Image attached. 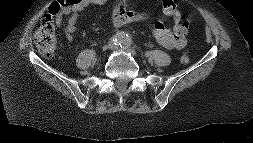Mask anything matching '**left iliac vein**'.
<instances>
[{
    "mask_svg": "<svg viewBox=\"0 0 253 143\" xmlns=\"http://www.w3.org/2000/svg\"><path fill=\"white\" fill-rule=\"evenodd\" d=\"M112 49H113V50H116V51L120 50V48H119L118 46H115V45H112ZM121 49H122L123 51L132 52V53L134 54V52H133L132 50H130L129 47H123V48H121Z\"/></svg>",
    "mask_w": 253,
    "mask_h": 143,
    "instance_id": "left-iliac-vein-1",
    "label": "left iliac vein"
}]
</instances>
